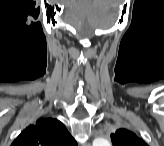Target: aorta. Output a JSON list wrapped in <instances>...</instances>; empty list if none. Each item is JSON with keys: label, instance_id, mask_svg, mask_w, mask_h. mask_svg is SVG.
<instances>
[{"label": "aorta", "instance_id": "aorta-1", "mask_svg": "<svg viewBox=\"0 0 164 146\" xmlns=\"http://www.w3.org/2000/svg\"><path fill=\"white\" fill-rule=\"evenodd\" d=\"M110 141L105 138H96L93 141V146H110Z\"/></svg>", "mask_w": 164, "mask_h": 146}]
</instances>
